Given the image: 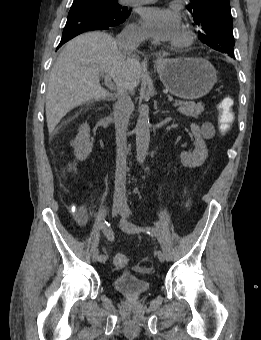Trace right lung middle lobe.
Listing matches in <instances>:
<instances>
[{
	"mask_svg": "<svg viewBox=\"0 0 261 340\" xmlns=\"http://www.w3.org/2000/svg\"><path fill=\"white\" fill-rule=\"evenodd\" d=\"M72 8H86L98 11L104 16L112 18H125L129 16L130 11L118 4V0H91L73 3Z\"/></svg>",
	"mask_w": 261,
	"mask_h": 340,
	"instance_id": "obj_1",
	"label": "right lung middle lobe"
}]
</instances>
